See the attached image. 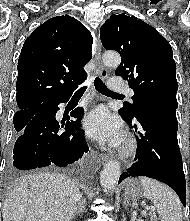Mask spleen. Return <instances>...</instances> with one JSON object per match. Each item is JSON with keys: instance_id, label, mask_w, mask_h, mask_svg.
<instances>
[{"instance_id": "obj_1", "label": "spleen", "mask_w": 190, "mask_h": 221, "mask_svg": "<svg viewBox=\"0 0 190 221\" xmlns=\"http://www.w3.org/2000/svg\"><path fill=\"white\" fill-rule=\"evenodd\" d=\"M145 196L153 202L161 221H182V205L177 194L157 180L142 177Z\"/></svg>"}]
</instances>
